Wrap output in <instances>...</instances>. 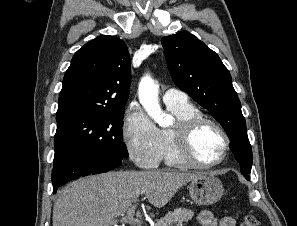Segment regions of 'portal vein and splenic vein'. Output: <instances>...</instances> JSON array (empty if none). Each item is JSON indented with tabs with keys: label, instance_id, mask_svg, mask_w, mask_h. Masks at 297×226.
<instances>
[{
	"label": "portal vein and splenic vein",
	"instance_id": "1",
	"mask_svg": "<svg viewBox=\"0 0 297 226\" xmlns=\"http://www.w3.org/2000/svg\"><path fill=\"white\" fill-rule=\"evenodd\" d=\"M135 208H136V205H133L126 213L121 214V216H122L121 220H123L124 222L129 223V224L141 225L142 221L138 218H134V216H133V213L135 212Z\"/></svg>",
	"mask_w": 297,
	"mask_h": 226
}]
</instances>
